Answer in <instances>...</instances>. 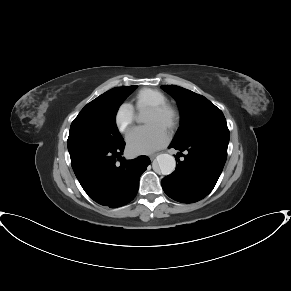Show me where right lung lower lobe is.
<instances>
[{
  "label": "right lung lower lobe",
  "instance_id": "1",
  "mask_svg": "<svg viewBox=\"0 0 291 291\" xmlns=\"http://www.w3.org/2000/svg\"><path fill=\"white\" fill-rule=\"evenodd\" d=\"M124 146L125 142L116 146L68 144L71 165L82 188L94 201L110 208L123 206L135 198L140 176L150 164L147 156L122 158Z\"/></svg>",
  "mask_w": 291,
  "mask_h": 291
}]
</instances>
